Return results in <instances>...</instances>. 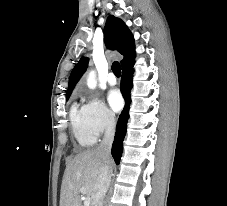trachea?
I'll return each mask as SVG.
<instances>
[{
	"instance_id": "trachea-1",
	"label": "trachea",
	"mask_w": 227,
	"mask_h": 206,
	"mask_svg": "<svg viewBox=\"0 0 227 206\" xmlns=\"http://www.w3.org/2000/svg\"><path fill=\"white\" fill-rule=\"evenodd\" d=\"M112 71L117 77L121 76V66H120L119 62H117V61L113 62Z\"/></svg>"
}]
</instances>
